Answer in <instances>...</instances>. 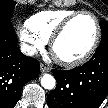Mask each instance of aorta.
<instances>
[{"instance_id":"762f6f07","label":"aorta","mask_w":108,"mask_h":108,"mask_svg":"<svg viewBox=\"0 0 108 108\" xmlns=\"http://www.w3.org/2000/svg\"><path fill=\"white\" fill-rule=\"evenodd\" d=\"M41 85L45 88V89H48V90H51L53 88H55L56 86V80L55 78L50 75V74H44L42 77H41Z\"/></svg>"}]
</instances>
